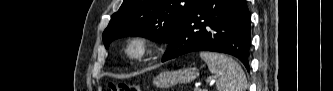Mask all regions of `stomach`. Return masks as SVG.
I'll use <instances>...</instances> for the list:
<instances>
[{
  "label": "stomach",
  "mask_w": 333,
  "mask_h": 91,
  "mask_svg": "<svg viewBox=\"0 0 333 91\" xmlns=\"http://www.w3.org/2000/svg\"><path fill=\"white\" fill-rule=\"evenodd\" d=\"M196 77L197 72L193 68L165 71L161 72L153 79V84L158 88H168L176 84L192 82Z\"/></svg>",
  "instance_id": "obj_1"
}]
</instances>
